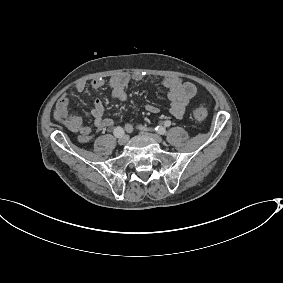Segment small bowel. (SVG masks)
I'll list each match as a JSON object with an SVG mask.
<instances>
[{
    "label": "small bowel",
    "mask_w": 283,
    "mask_h": 283,
    "mask_svg": "<svg viewBox=\"0 0 283 283\" xmlns=\"http://www.w3.org/2000/svg\"><path fill=\"white\" fill-rule=\"evenodd\" d=\"M143 78L144 77L141 74L129 73H119L112 76L109 80L112 95L121 101L126 100L128 86L134 82H141ZM104 83V79L96 78L91 82V88L94 90L100 89L104 86ZM160 85L167 91V96L170 101V114L177 119H181L184 116L191 99L197 93L195 84L189 81H184L177 76H165L160 79ZM86 87V82L80 81L76 84L75 88L78 92H82ZM69 106L70 99L67 94H63L56 103L54 110L55 120L69 130L79 133L80 141L89 142L94 136L92 129L83 122L81 117L71 114ZM145 110L152 114L159 112V108L154 104H147ZM91 115L94 119L96 131H102L114 126V121L111 118L104 116V106L99 99L92 102ZM124 128L128 133L133 131V126L130 123H126Z\"/></svg>",
    "instance_id": "c3829d8e"
}]
</instances>
